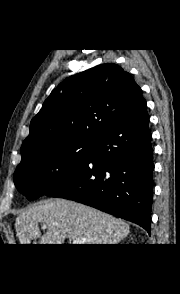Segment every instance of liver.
Returning a JSON list of instances; mask_svg holds the SVG:
<instances>
[{
    "label": "liver",
    "instance_id": "obj_1",
    "mask_svg": "<svg viewBox=\"0 0 180 294\" xmlns=\"http://www.w3.org/2000/svg\"><path fill=\"white\" fill-rule=\"evenodd\" d=\"M46 224L41 235L38 223ZM16 232L20 244H63L66 238L84 240L82 244H117L127 237L129 225L92 207L68 201L51 199L30 206L16 218Z\"/></svg>",
    "mask_w": 180,
    "mask_h": 294
}]
</instances>
